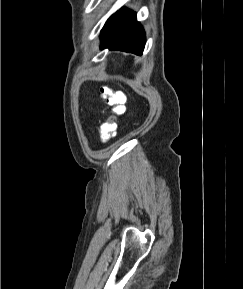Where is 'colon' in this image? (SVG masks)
I'll use <instances>...</instances> for the list:
<instances>
[{"mask_svg":"<svg viewBox=\"0 0 243 289\" xmlns=\"http://www.w3.org/2000/svg\"><path fill=\"white\" fill-rule=\"evenodd\" d=\"M101 97L110 108L111 115L103 122L100 138L103 143L108 142L116 130V117L123 113L125 95L121 91L112 90L106 86L100 88Z\"/></svg>","mask_w":243,"mask_h":289,"instance_id":"5ec220e1","label":"colon"}]
</instances>
